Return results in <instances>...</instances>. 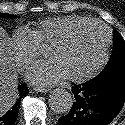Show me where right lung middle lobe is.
<instances>
[{
    "mask_svg": "<svg viewBox=\"0 0 125 125\" xmlns=\"http://www.w3.org/2000/svg\"><path fill=\"white\" fill-rule=\"evenodd\" d=\"M0 16L8 17V18L14 17V15H12V14H6V13H0Z\"/></svg>",
    "mask_w": 125,
    "mask_h": 125,
    "instance_id": "obj_1",
    "label": "right lung middle lobe"
}]
</instances>
